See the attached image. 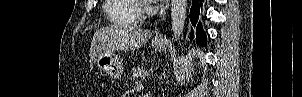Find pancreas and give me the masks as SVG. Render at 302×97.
I'll use <instances>...</instances> for the list:
<instances>
[{"mask_svg":"<svg viewBox=\"0 0 302 97\" xmlns=\"http://www.w3.org/2000/svg\"><path fill=\"white\" fill-rule=\"evenodd\" d=\"M130 79L133 81H139L145 79V70L143 67L133 68L132 73L130 74Z\"/></svg>","mask_w":302,"mask_h":97,"instance_id":"pancreas-1","label":"pancreas"}]
</instances>
